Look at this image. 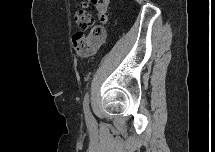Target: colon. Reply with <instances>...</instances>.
Segmentation results:
<instances>
[{
  "label": "colon",
  "instance_id": "1",
  "mask_svg": "<svg viewBox=\"0 0 215 152\" xmlns=\"http://www.w3.org/2000/svg\"><path fill=\"white\" fill-rule=\"evenodd\" d=\"M96 7L99 24L93 23L92 15L89 11V5ZM109 0H90L81 3L79 9L75 12V20L82 29H89L87 35L77 33L73 35V47L78 56L82 58L93 55L100 48L106 38L105 23L108 20Z\"/></svg>",
  "mask_w": 215,
  "mask_h": 152
}]
</instances>
